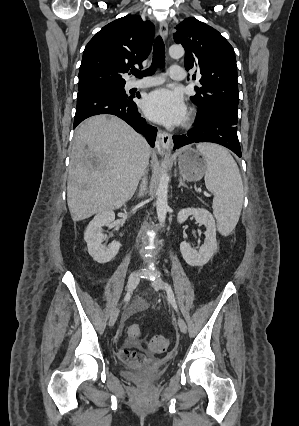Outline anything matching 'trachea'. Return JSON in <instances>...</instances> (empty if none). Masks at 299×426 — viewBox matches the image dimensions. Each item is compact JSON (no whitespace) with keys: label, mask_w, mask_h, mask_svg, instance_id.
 Segmentation results:
<instances>
[{"label":"trachea","mask_w":299,"mask_h":426,"mask_svg":"<svg viewBox=\"0 0 299 426\" xmlns=\"http://www.w3.org/2000/svg\"><path fill=\"white\" fill-rule=\"evenodd\" d=\"M165 61V46L163 40L158 36L154 42L153 59L151 66L145 71L138 70L132 71V74L141 78L142 76L151 75L156 67L162 66Z\"/></svg>","instance_id":"1"}]
</instances>
